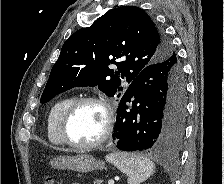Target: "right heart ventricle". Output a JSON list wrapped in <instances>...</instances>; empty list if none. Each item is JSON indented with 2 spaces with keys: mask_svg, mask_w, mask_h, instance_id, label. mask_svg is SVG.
I'll return each instance as SVG.
<instances>
[{
  "mask_svg": "<svg viewBox=\"0 0 224 184\" xmlns=\"http://www.w3.org/2000/svg\"><path fill=\"white\" fill-rule=\"evenodd\" d=\"M72 96H66L58 100L50 109L47 118V137L54 145H62L64 141L60 135L59 125L62 114L67 106L72 102Z\"/></svg>",
  "mask_w": 224,
  "mask_h": 184,
  "instance_id": "obj_1",
  "label": "right heart ventricle"
}]
</instances>
